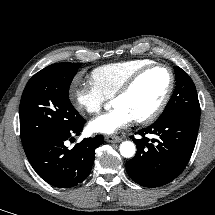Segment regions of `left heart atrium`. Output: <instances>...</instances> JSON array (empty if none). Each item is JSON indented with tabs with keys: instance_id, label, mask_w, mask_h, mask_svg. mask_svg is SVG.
Returning <instances> with one entry per match:
<instances>
[{
	"instance_id": "1",
	"label": "left heart atrium",
	"mask_w": 215,
	"mask_h": 215,
	"mask_svg": "<svg viewBox=\"0 0 215 215\" xmlns=\"http://www.w3.org/2000/svg\"><path fill=\"white\" fill-rule=\"evenodd\" d=\"M135 118L125 107H115L112 111L94 118L89 123L92 132L101 134H115L128 127Z\"/></svg>"
}]
</instances>
